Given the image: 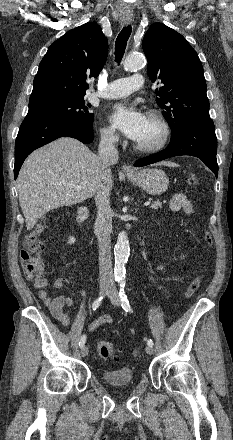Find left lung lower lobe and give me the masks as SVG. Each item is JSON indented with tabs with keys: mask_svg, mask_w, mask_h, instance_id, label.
Here are the masks:
<instances>
[{
	"mask_svg": "<svg viewBox=\"0 0 233 440\" xmlns=\"http://www.w3.org/2000/svg\"><path fill=\"white\" fill-rule=\"evenodd\" d=\"M217 138L211 119H192L178 135L171 137L168 147L154 155L138 160L134 166L141 167L173 156L190 155L200 158L218 176Z\"/></svg>",
	"mask_w": 233,
	"mask_h": 440,
	"instance_id": "obj_1",
	"label": "left lung lower lobe"
}]
</instances>
